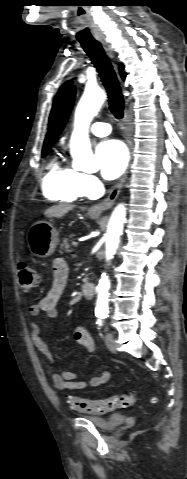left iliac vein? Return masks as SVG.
I'll use <instances>...</instances> for the list:
<instances>
[{
	"label": "left iliac vein",
	"instance_id": "1",
	"mask_svg": "<svg viewBox=\"0 0 187 479\" xmlns=\"http://www.w3.org/2000/svg\"><path fill=\"white\" fill-rule=\"evenodd\" d=\"M105 343H106L107 348H108L112 353H115V352H116V343H115L114 337H113V335H112L111 333H109V332L106 333Z\"/></svg>",
	"mask_w": 187,
	"mask_h": 479
}]
</instances>
